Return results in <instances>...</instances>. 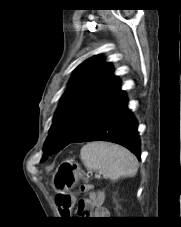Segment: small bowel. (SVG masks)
<instances>
[{"label":"small bowel","instance_id":"c3829d8e","mask_svg":"<svg viewBox=\"0 0 181 227\" xmlns=\"http://www.w3.org/2000/svg\"><path fill=\"white\" fill-rule=\"evenodd\" d=\"M104 193L101 191L92 192L88 199L81 200L78 205V214H90L96 218H104L108 216V210L103 207Z\"/></svg>","mask_w":181,"mask_h":227}]
</instances>
